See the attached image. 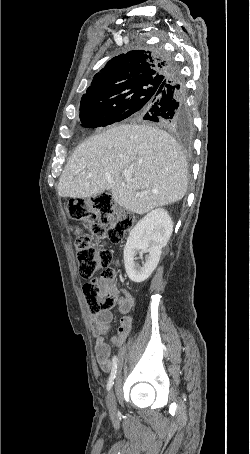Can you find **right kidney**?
Instances as JSON below:
<instances>
[{"label":"right kidney","instance_id":"1","mask_svg":"<svg viewBox=\"0 0 250 454\" xmlns=\"http://www.w3.org/2000/svg\"><path fill=\"white\" fill-rule=\"evenodd\" d=\"M173 231V222L168 212L158 208L149 212L139 220L130 231L125 248V270L131 281L141 283L145 281L160 260L162 248L166 246ZM148 253L145 263L139 266L135 263V256Z\"/></svg>","mask_w":250,"mask_h":454}]
</instances>
